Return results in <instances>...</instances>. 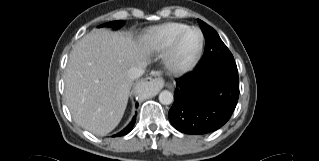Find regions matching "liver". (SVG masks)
<instances>
[{
  "instance_id": "liver-1",
  "label": "liver",
  "mask_w": 319,
  "mask_h": 161,
  "mask_svg": "<svg viewBox=\"0 0 319 161\" xmlns=\"http://www.w3.org/2000/svg\"><path fill=\"white\" fill-rule=\"evenodd\" d=\"M150 47L129 35L94 30L73 48L65 73V98L74 121L106 135L121 121L132 79L129 70L147 65Z\"/></svg>"
}]
</instances>
